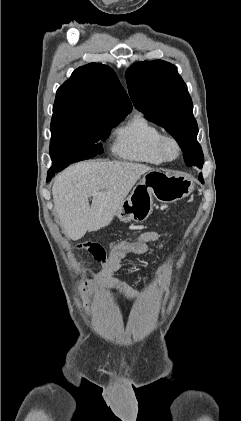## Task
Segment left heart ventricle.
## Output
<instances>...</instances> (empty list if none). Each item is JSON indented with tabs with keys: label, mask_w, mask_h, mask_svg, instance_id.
Wrapping results in <instances>:
<instances>
[{
	"label": "left heart ventricle",
	"mask_w": 241,
	"mask_h": 421,
	"mask_svg": "<svg viewBox=\"0 0 241 421\" xmlns=\"http://www.w3.org/2000/svg\"><path fill=\"white\" fill-rule=\"evenodd\" d=\"M167 149H168V152H169V153H172V152H173V150H174V149H173V147H172L171 145H169V146L167 147Z\"/></svg>",
	"instance_id": "1"
}]
</instances>
